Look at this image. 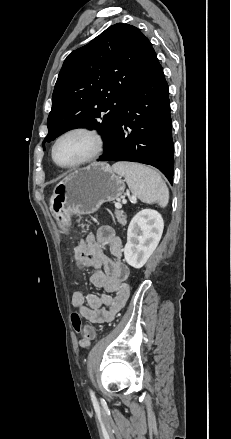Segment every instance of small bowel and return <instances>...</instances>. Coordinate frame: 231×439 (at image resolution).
<instances>
[{
  "label": "small bowel",
  "instance_id": "small-bowel-1",
  "mask_svg": "<svg viewBox=\"0 0 231 439\" xmlns=\"http://www.w3.org/2000/svg\"><path fill=\"white\" fill-rule=\"evenodd\" d=\"M78 256L83 257L85 268L95 269L90 282L102 292L85 294L80 285V290L72 294V306L92 323L111 322L130 296L126 283L130 270L123 261L122 241L112 227L101 226L95 236H88L76 247L75 259ZM89 344L84 339L80 341L82 347Z\"/></svg>",
  "mask_w": 231,
  "mask_h": 439
}]
</instances>
